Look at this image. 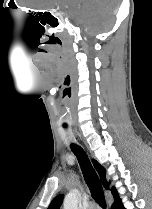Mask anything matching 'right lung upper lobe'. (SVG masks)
Returning <instances> with one entry per match:
<instances>
[{
	"instance_id": "1",
	"label": "right lung upper lobe",
	"mask_w": 152,
	"mask_h": 209,
	"mask_svg": "<svg viewBox=\"0 0 152 209\" xmlns=\"http://www.w3.org/2000/svg\"><path fill=\"white\" fill-rule=\"evenodd\" d=\"M93 165L95 167V169L97 170L98 174H99V177H100V180L103 184V186L108 189L109 187V183L107 182L106 178H105V175H106V171L104 169L103 166H101L96 160H93ZM112 193L115 192V188L112 187L111 189ZM62 201H63V195L60 194L58 195L56 198L53 199V201L50 203L48 209H59V207L61 206L62 204Z\"/></svg>"
}]
</instances>
